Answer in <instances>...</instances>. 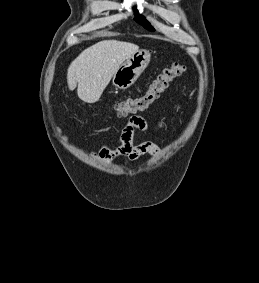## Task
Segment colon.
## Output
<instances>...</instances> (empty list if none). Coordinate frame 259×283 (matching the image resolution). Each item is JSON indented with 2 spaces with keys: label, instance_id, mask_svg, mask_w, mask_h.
I'll return each instance as SVG.
<instances>
[{
  "label": "colon",
  "instance_id": "obj_1",
  "mask_svg": "<svg viewBox=\"0 0 259 283\" xmlns=\"http://www.w3.org/2000/svg\"><path fill=\"white\" fill-rule=\"evenodd\" d=\"M186 67L178 62L165 68L150 84L146 92L138 97L127 98L113 105L119 117L136 114L146 110L168 88L170 83L185 72Z\"/></svg>",
  "mask_w": 259,
  "mask_h": 283
}]
</instances>
